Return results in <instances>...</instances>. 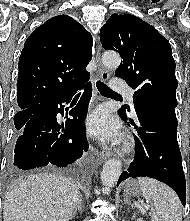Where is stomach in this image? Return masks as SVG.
<instances>
[{
	"instance_id": "0dacf381",
	"label": "stomach",
	"mask_w": 190,
	"mask_h": 221,
	"mask_svg": "<svg viewBox=\"0 0 190 221\" xmlns=\"http://www.w3.org/2000/svg\"><path fill=\"white\" fill-rule=\"evenodd\" d=\"M124 192L126 195L133 196V197H139L143 195L141 187L134 180H130L126 183Z\"/></svg>"
}]
</instances>
